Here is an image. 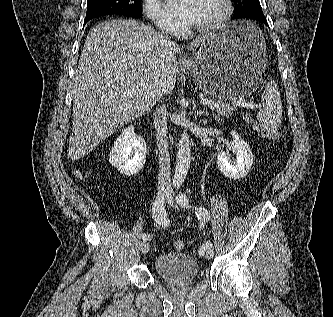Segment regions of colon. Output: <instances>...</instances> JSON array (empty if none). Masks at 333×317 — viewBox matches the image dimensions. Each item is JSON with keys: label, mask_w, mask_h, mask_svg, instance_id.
Returning a JSON list of instances; mask_svg holds the SVG:
<instances>
[{"label": "colon", "mask_w": 333, "mask_h": 317, "mask_svg": "<svg viewBox=\"0 0 333 317\" xmlns=\"http://www.w3.org/2000/svg\"><path fill=\"white\" fill-rule=\"evenodd\" d=\"M245 120L247 123L255 129L258 133H260L263 137L268 138V139H278L280 138V133L274 130L267 129L260 125L250 114L245 115ZM75 174L77 176H82V174L79 171H76ZM184 242L182 240H176L174 242V248L177 251H181L184 249Z\"/></svg>", "instance_id": "colon-1"}]
</instances>
